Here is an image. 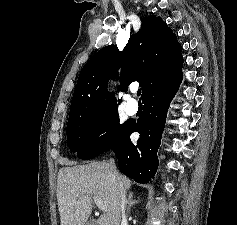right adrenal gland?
Masks as SVG:
<instances>
[{
	"label": "right adrenal gland",
	"mask_w": 237,
	"mask_h": 225,
	"mask_svg": "<svg viewBox=\"0 0 237 225\" xmlns=\"http://www.w3.org/2000/svg\"><path fill=\"white\" fill-rule=\"evenodd\" d=\"M127 203H128V206H127V215H129L130 210H131V207H132L133 205L139 203V200L133 199V193L131 192V193H129V195H128V201H127Z\"/></svg>",
	"instance_id": "obj_1"
}]
</instances>
